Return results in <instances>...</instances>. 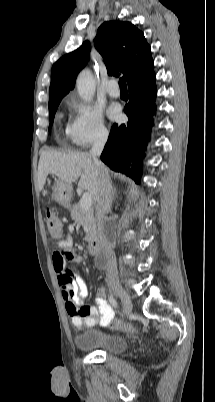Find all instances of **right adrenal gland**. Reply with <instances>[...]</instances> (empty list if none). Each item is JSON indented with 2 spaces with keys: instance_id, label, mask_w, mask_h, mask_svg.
I'll list each match as a JSON object with an SVG mask.
<instances>
[{
  "instance_id": "right-adrenal-gland-1",
  "label": "right adrenal gland",
  "mask_w": 215,
  "mask_h": 402,
  "mask_svg": "<svg viewBox=\"0 0 215 402\" xmlns=\"http://www.w3.org/2000/svg\"><path fill=\"white\" fill-rule=\"evenodd\" d=\"M113 196H114V198H115V196H116V189L114 188V190H113Z\"/></svg>"
}]
</instances>
